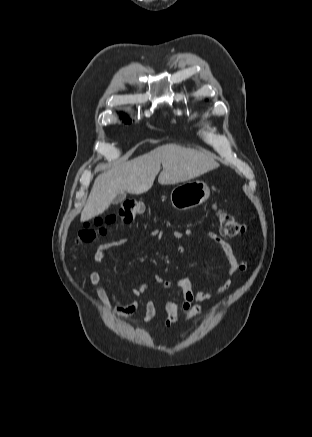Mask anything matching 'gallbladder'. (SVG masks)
Instances as JSON below:
<instances>
[{"mask_svg": "<svg viewBox=\"0 0 312 437\" xmlns=\"http://www.w3.org/2000/svg\"><path fill=\"white\" fill-rule=\"evenodd\" d=\"M125 198H126V194L125 193H120V194H118L116 197H115V199H114V203H121L122 201H124L125 200Z\"/></svg>", "mask_w": 312, "mask_h": 437, "instance_id": "gallbladder-1", "label": "gallbladder"}]
</instances>
